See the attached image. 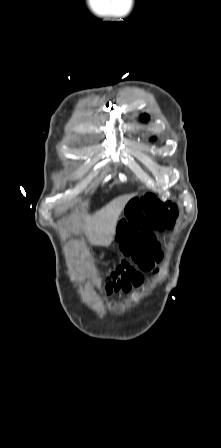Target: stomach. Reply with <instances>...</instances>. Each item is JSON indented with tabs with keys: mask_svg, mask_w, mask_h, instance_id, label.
<instances>
[{
	"mask_svg": "<svg viewBox=\"0 0 221 448\" xmlns=\"http://www.w3.org/2000/svg\"><path fill=\"white\" fill-rule=\"evenodd\" d=\"M132 204H133V199L130 200V201L127 203V205H126V207H125V212H127V209H128Z\"/></svg>",
	"mask_w": 221,
	"mask_h": 448,
	"instance_id": "stomach-1",
	"label": "stomach"
}]
</instances>
